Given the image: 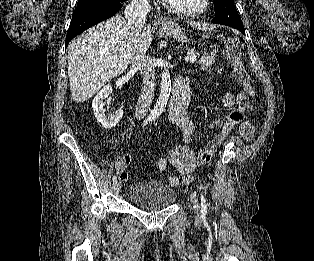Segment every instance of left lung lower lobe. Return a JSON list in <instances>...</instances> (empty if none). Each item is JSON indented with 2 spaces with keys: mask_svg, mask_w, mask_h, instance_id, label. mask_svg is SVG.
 I'll return each instance as SVG.
<instances>
[{
  "mask_svg": "<svg viewBox=\"0 0 314 261\" xmlns=\"http://www.w3.org/2000/svg\"><path fill=\"white\" fill-rule=\"evenodd\" d=\"M233 28H236V29H238L241 33L245 34V31H244V27H243V26H234Z\"/></svg>",
  "mask_w": 314,
  "mask_h": 261,
  "instance_id": "obj_1",
  "label": "left lung lower lobe"
}]
</instances>
